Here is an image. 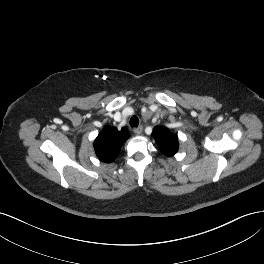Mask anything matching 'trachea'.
<instances>
[{"instance_id":"obj_1","label":"trachea","mask_w":264,"mask_h":264,"mask_svg":"<svg viewBox=\"0 0 264 264\" xmlns=\"http://www.w3.org/2000/svg\"><path fill=\"white\" fill-rule=\"evenodd\" d=\"M130 125L132 127H138V125H139V119H138V117L136 115H133L131 117V119H130Z\"/></svg>"}]
</instances>
